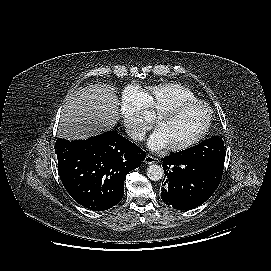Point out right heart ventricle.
Listing matches in <instances>:
<instances>
[{
    "instance_id": "right-heart-ventricle-1",
    "label": "right heart ventricle",
    "mask_w": 271,
    "mask_h": 271,
    "mask_svg": "<svg viewBox=\"0 0 271 271\" xmlns=\"http://www.w3.org/2000/svg\"><path fill=\"white\" fill-rule=\"evenodd\" d=\"M143 93L146 108L155 114L174 104L197 100L188 88L174 83L154 85L147 88Z\"/></svg>"
}]
</instances>
